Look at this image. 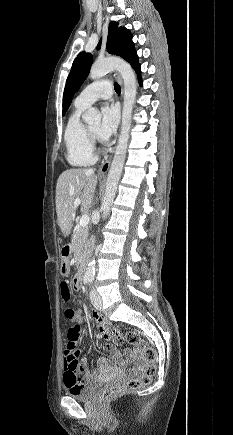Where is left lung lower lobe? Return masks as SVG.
Instances as JSON below:
<instances>
[{"mask_svg": "<svg viewBox=\"0 0 233 435\" xmlns=\"http://www.w3.org/2000/svg\"><path fill=\"white\" fill-rule=\"evenodd\" d=\"M134 69L136 70L138 76L140 77V73H141L140 66H138L137 68H134ZM139 83H140V85H142V81L140 80V78H139Z\"/></svg>", "mask_w": 233, "mask_h": 435, "instance_id": "left-lung-lower-lobe-1", "label": "left lung lower lobe"}]
</instances>
